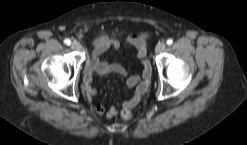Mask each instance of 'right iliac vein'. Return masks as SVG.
<instances>
[{
    "instance_id": "obj_1",
    "label": "right iliac vein",
    "mask_w": 247,
    "mask_h": 145,
    "mask_svg": "<svg viewBox=\"0 0 247 145\" xmlns=\"http://www.w3.org/2000/svg\"><path fill=\"white\" fill-rule=\"evenodd\" d=\"M71 48L74 49V50H80L81 49V45L78 42L74 41V42L71 43Z\"/></svg>"
}]
</instances>
